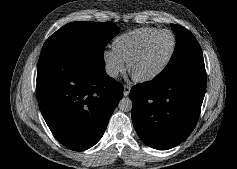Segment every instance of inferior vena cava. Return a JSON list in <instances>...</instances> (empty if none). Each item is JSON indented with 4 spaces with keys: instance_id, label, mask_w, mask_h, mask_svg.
<instances>
[{
    "instance_id": "inferior-vena-cava-1",
    "label": "inferior vena cava",
    "mask_w": 237,
    "mask_h": 169,
    "mask_svg": "<svg viewBox=\"0 0 237 169\" xmlns=\"http://www.w3.org/2000/svg\"><path fill=\"white\" fill-rule=\"evenodd\" d=\"M105 70H106V73L108 76L112 77V78H117L118 77V74H119V71L117 68L113 67V66H110V65H107L105 67Z\"/></svg>"
}]
</instances>
